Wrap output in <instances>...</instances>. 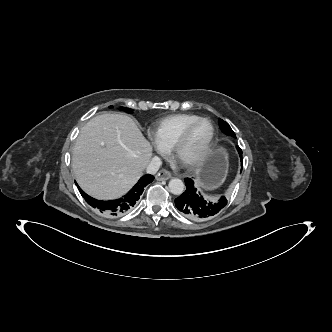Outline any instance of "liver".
Returning a JSON list of instances; mask_svg holds the SVG:
<instances>
[{
	"instance_id": "liver-1",
	"label": "liver",
	"mask_w": 332,
	"mask_h": 332,
	"mask_svg": "<svg viewBox=\"0 0 332 332\" xmlns=\"http://www.w3.org/2000/svg\"><path fill=\"white\" fill-rule=\"evenodd\" d=\"M152 147L124 114H102L81 129L72 153L76 181L90 196L112 200L126 194L142 176Z\"/></svg>"
}]
</instances>
